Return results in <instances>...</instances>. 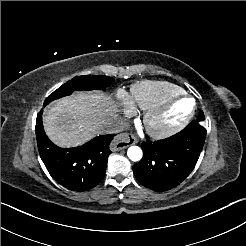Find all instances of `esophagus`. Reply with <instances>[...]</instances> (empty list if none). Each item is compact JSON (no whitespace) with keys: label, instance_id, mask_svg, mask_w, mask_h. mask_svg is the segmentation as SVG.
Listing matches in <instances>:
<instances>
[{"label":"esophagus","instance_id":"esophagus-1","mask_svg":"<svg viewBox=\"0 0 246 246\" xmlns=\"http://www.w3.org/2000/svg\"><path fill=\"white\" fill-rule=\"evenodd\" d=\"M138 141L131 133H122L115 137L111 142L110 148L112 151H119L127 148L130 145L136 144Z\"/></svg>","mask_w":246,"mask_h":246}]
</instances>
